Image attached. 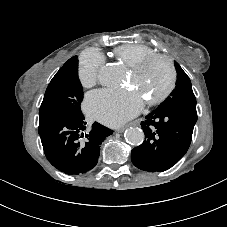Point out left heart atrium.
Segmentation results:
<instances>
[{
	"mask_svg": "<svg viewBox=\"0 0 227 227\" xmlns=\"http://www.w3.org/2000/svg\"><path fill=\"white\" fill-rule=\"evenodd\" d=\"M144 106L139 93L121 89H101L90 92L85 110L93 118L110 126H119L137 115Z\"/></svg>",
	"mask_w": 227,
	"mask_h": 227,
	"instance_id": "1",
	"label": "left heart atrium"
}]
</instances>
